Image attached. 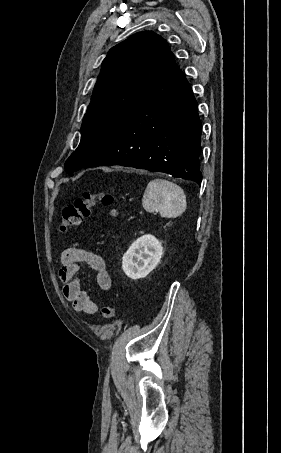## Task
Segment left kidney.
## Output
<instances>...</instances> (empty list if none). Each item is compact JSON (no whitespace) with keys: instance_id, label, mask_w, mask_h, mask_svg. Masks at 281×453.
<instances>
[{"instance_id":"obj_1","label":"left kidney","mask_w":281,"mask_h":453,"mask_svg":"<svg viewBox=\"0 0 281 453\" xmlns=\"http://www.w3.org/2000/svg\"><path fill=\"white\" fill-rule=\"evenodd\" d=\"M163 247L153 235H143L122 257V269L130 279H143L157 267Z\"/></svg>"}]
</instances>
